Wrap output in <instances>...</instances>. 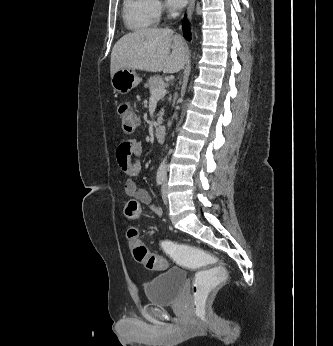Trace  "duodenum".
<instances>
[{
  "instance_id": "obj_1",
  "label": "duodenum",
  "mask_w": 333,
  "mask_h": 346,
  "mask_svg": "<svg viewBox=\"0 0 333 346\" xmlns=\"http://www.w3.org/2000/svg\"><path fill=\"white\" fill-rule=\"evenodd\" d=\"M165 132H166V129L164 126L162 125H159L155 128V137L157 139V141L159 142H163L164 139H165Z\"/></svg>"
}]
</instances>
